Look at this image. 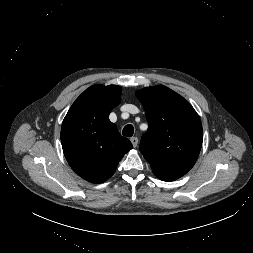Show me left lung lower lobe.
I'll return each instance as SVG.
<instances>
[{
	"label": "left lung lower lobe",
	"instance_id": "1",
	"mask_svg": "<svg viewBox=\"0 0 253 253\" xmlns=\"http://www.w3.org/2000/svg\"><path fill=\"white\" fill-rule=\"evenodd\" d=\"M159 178V177H158ZM159 179H161V180H163V181H173L172 179H166V178H159Z\"/></svg>",
	"mask_w": 253,
	"mask_h": 253
}]
</instances>
